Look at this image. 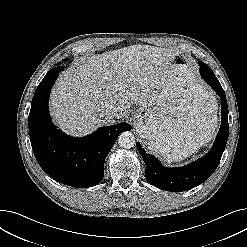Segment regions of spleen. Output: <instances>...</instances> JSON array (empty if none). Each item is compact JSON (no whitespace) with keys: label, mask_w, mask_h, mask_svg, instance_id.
Segmentation results:
<instances>
[{"label":"spleen","mask_w":247,"mask_h":247,"mask_svg":"<svg viewBox=\"0 0 247 247\" xmlns=\"http://www.w3.org/2000/svg\"><path fill=\"white\" fill-rule=\"evenodd\" d=\"M209 139H210V138H208L207 141H208ZM207 141H206V142H207ZM196 158H197V156L194 155V156H193V159H196Z\"/></svg>","instance_id":"3e777b00"}]
</instances>
